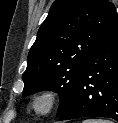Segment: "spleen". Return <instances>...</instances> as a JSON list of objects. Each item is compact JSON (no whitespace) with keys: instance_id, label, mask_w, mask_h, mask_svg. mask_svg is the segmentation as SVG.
<instances>
[{"instance_id":"spleen-1","label":"spleen","mask_w":118,"mask_h":123,"mask_svg":"<svg viewBox=\"0 0 118 123\" xmlns=\"http://www.w3.org/2000/svg\"><path fill=\"white\" fill-rule=\"evenodd\" d=\"M83 123H112L109 120H102V119H88L84 120Z\"/></svg>"}]
</instances>
